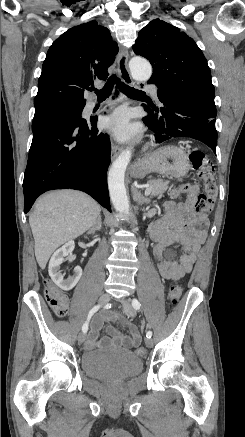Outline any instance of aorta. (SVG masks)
<instances>
[{"instance_id": "762f6f07", "label": "aorta", "mask_w": 245, "mask_h": 437, "mask_svg": "<svg viewBox=\"0 0 245 437\" xmlns=\"http://www.w3.org/2000/svg\"><path fill=\"white\" fill-rule=\"evenodd\" d=\"M132 77L137 81H147L152 75L150 63L141 57H133L129 62ZM132 148H127L113 162L108 173V187L110 198L115 210L119 213L129 214V201L124 185L126 168L130 162Z\"/></svg>"}]
</instances>
